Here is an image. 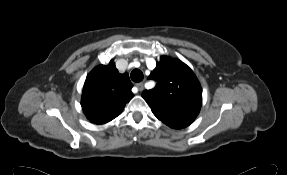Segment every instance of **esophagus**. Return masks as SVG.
<instances>
[{
	"label": "esophagus",
	"instance_id": "34e87169",
	"mask_svg": "<svg viewBox=\"0 0 287 175\" xmlns=\"http://www.w3.org/2000/svg\"><path fill=\"white\" fill-rule=\"evenodd\" d=\"M135 85H136V87L138 88L139 91H142L144 89V84L142 82L136 83Z\"/></svg>",
	"mask_w": 287,
	"mask_h": 175
}]
</instances>
